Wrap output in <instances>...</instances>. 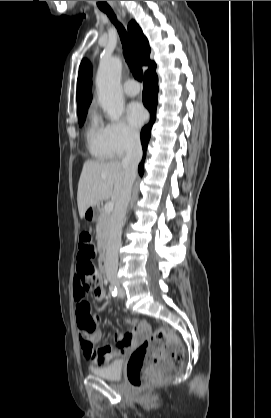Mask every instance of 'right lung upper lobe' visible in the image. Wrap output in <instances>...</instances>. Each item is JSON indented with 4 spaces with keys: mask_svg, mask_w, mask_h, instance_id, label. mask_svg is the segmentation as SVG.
Masks as SVG:
<instances>
[{
    "mask_svg": "<svg viewBox=\"0 0 271 418\" xmlns=\"http://www.w3.org/2000/svg\"><path fill=\"white\" fill-rule=\"evenodd\" d=\"M129 34L135 44L137 58L142 65H147L148 70L156 67V64L149 59L150 47L147 38L143 35L138 24L131 20L128 24ZM91 65L85 59L79 67L77 80V111L78 116L87 113V109L92 100L91 94Z\"/></svg>",
    "mask_w": 271,
    "mask_h": 418,
    "instance_id": "obj_1",
    "label": "right lung upper lobe"
}]
</instances>
